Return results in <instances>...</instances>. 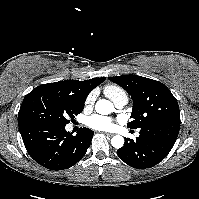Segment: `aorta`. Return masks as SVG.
<instances>
[{
	"instance_id": "obj_1",
	"label": "aorta",
	"mask_w": 199,
	"mask_h": 199,
	"mask_svg": "<svg viewBox=\"0 0 199 199\" xmlns=\"http://www.w3.org/2000/svg\"><path fill=\"white\" fill-rule=\"evenodd\" d=\"M95 110L101 115H108L113 112L114 106L109 100L101 99L96 102ZM111 145L117 149L121 148L124 145V138L120 135L113 136Z\"/></svg>"
}]
</instances>
